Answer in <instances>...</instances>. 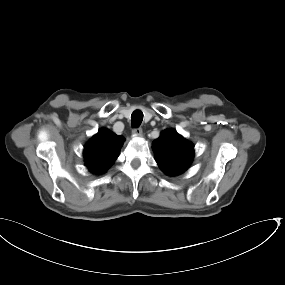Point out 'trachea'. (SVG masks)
I'll list each match as a JSON object with an SVG mask.
<instances>
[{
    "label": "trachea",
    "instance_id": "obj_1",
    "mask_svg": "<svg viewBox=\"0 0 285 285\" xmlns=\"http://www.w3.org/2000/svg\"><path fill=\"white\" fill-rule=\"evenodd\" d=\"M143 120V113L140 110H135L131 115V123L134 127H139Z\"/></svg>",
    "mask_w": 285,
    "mask_h": 285
}]
</instances>
